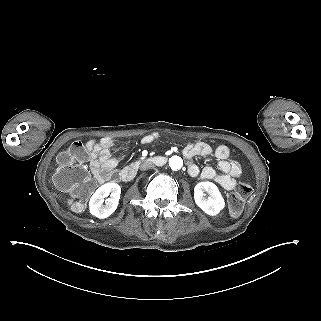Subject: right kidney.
<instances>
[{
    "mask_svg": "<svg viewBox=\"0 0 321 321\" xmlns=\"http://www.w3.org/2000/svg\"><path fill=\"white\" fill-rule=\"evenodd\" d=\"M120 193L121 188L116 183H106L102 185L90 198V213L100 219L109 217L118 206ZM109 195L110 197L104 200ZM104 201L105 205H103Z\"/></svg>",
    "mask_w": 321,
    "mask_h": 321,
    "instance_id": "right-kidney-1",
    "label": "right kidney"
}]
</instances>
